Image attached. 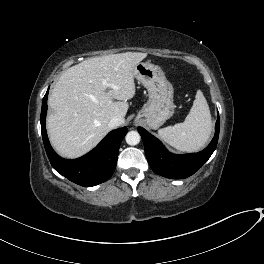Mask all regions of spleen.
<instances>
[{"mask_svg":"<svg viewBox=\"0 0 264 264\" xmlns=\"http://www.w3.org/2000/svg\"><path fill=\"white\" fill-rule=\"evenodd\" d=\"M212 131V120L208 103L198 90L193 106L185 121L158 131L167 144L180 151L195 152L203 148Z\"/></svg>","mask_w":264,"mask_h":264,"instance_id":"3e777b00","label":"spleen"}]
</instances>
